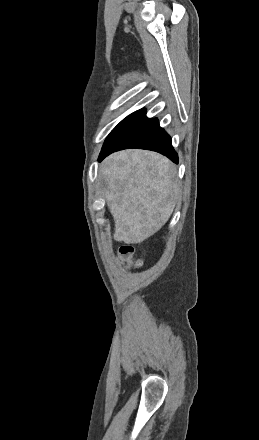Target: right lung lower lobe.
I'll return each mask as SVG.
<instances>
[{
    "instance_id": "98d812e1",
    "label": "right lung lower lobe",
    "mask_w": 259,
    "mask_h": 440,
    "mask_svg": "<svg viewBox=\"0 0 259 440\" xmlns=\"http://www.w3.org/2000/svg\"><path fill=\"white\" fill-rule=\"evenodd\" d=\"M145 114V109L132 113L110 133L102 147L99 161L114 151L140 148L159 152L178 163L170 136L159 126L157 118L149 119Z\"/></svg>"
}]
</instances>
